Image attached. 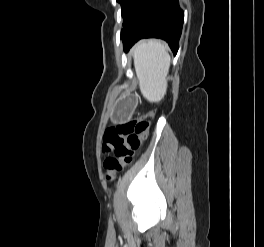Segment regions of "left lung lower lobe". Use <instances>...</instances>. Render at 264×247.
<instances>
[{"label": "left lung lower lobe", "instance_id": "left-lung-lower-lobe-1", "mask_svg": "<svg viewBox=\"0 0 264 247\" xmlns=\"http://www.w3.org/2000/svg\"><path fill=\"white\" fill-rule=\"evenodd\" d=\"M184 13L178 0H146L121 33L124 50L142 38H161L178 51Z\"/></svg>", "mask_w": 264, "mask_h": 247}]
</instances>
